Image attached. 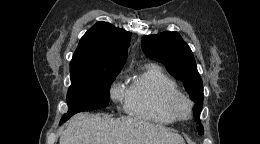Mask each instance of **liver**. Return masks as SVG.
<instances>
[{
  "mask_svg": "<svg viewBox=\"0 0 260 144\" xmlns=\"http://www.w3.org/2000/svg\"><path fill=\"white\" fill-rule=\"evenodd\" d=\"M60 144H183L184 139L160 125L133 117L111 118L79 113L62 132Z\"/></svg>",
  "mask_w": 260,
  "mask_h": 144,
  "instance_id": "1",
  "label": "liver"
}]
</instances>
